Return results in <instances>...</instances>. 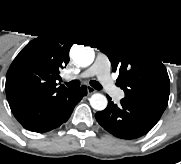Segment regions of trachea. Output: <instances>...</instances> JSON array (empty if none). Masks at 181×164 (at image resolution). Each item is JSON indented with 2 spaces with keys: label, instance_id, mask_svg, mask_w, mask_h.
Masks as SVG:
<instances>
[{
  "label": "trachea",
  "instance_id": "1",
  "mask_svg": "<svg viewBox=\"0 0 181 164\" xmlns=\"http://www.w3.org/2000/svg\"><path fill=\"white\" fill-rule=\"evenodd\" d=\"M66 85L70 88H78L80 86V82L78 80L70 81L66 83ZM90 85L97 90H100L102 87L97 81H90Z\"/></svg>",
  "mask_w": 181,
  "mask_h": 164
}]
</instances>
